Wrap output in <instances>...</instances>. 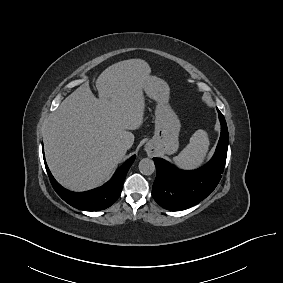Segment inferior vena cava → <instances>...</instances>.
<instances>
[{
  "label": "inferior vena cava",
  "mask_w": 283,
  "mask_h": 283,
  "mask_svg": "<svg viewBox=\"0 0 283 283\" xmlns=\"http://www.w3.org/2000/svg\"><path fill=\"white\" fill-rule=\"evenodd\" d=\"M122 147L127 150L130 148V144L128 142H123Z\"/></svg>",
  "instance_id": "inferior-vena-cava-1"
}]
</instances>
